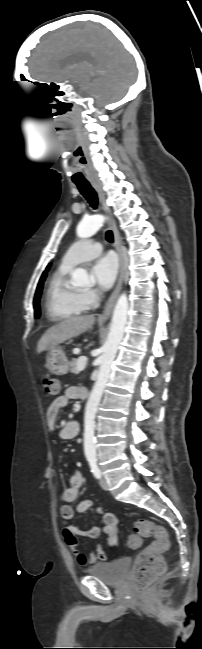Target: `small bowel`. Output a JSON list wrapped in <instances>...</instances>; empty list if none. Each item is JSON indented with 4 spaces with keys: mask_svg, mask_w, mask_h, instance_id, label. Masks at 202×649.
<instances>
[{
    "mask_svg": "<svg viewBox=\"0 0 202 649\" xmlns=\"http://www.w3.org/2000/svg\"><path fill=\"white\" fill-rule=\"evenodd\" d=\"M86 390L81 386H69L66 388L65 393L54 399L46 411V423L50 431L54 432L59 439L69 440L74 438L78 433V422L75 419L67 420L61 427L57 426L60 411L65 408L70 400L82 399ZM83 485V476L77 470L71 474L69 485L63 490L61 500L66 503L61 508V517L65 524L64 538L67 545L74 551L77 560L81 565H91L97 561L107 560V554L103 550L100 543H96L93 551L78 550L79 545L78 537H87L90 539H97L101 533L108 537V545L111 549L117 547V534L119 519L113 513L104 512L101 507H97L96 511L102 516L104 525L102 527H92L90 529H80L73 525L71 522L75 516V511L83 513L93 508L91 500H84L80 502L74 510L69 503L77 500L80 488ZM112 518V521H109Z\"/></svg>",
    "mask_w": 202,
    "mask_h": 649,
    "instance_id": "small-bowel-1",
    "label": "small bowel"
}]
</instances>
